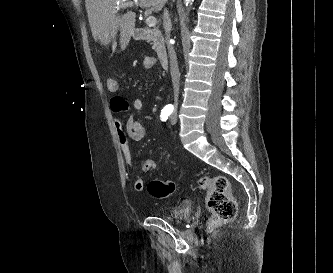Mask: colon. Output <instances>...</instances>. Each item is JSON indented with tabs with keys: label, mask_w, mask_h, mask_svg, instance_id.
<instances>
[{
	"label": "colon",
	"mask_w": 333,
	"mask_h": 273,
	"mask_svg": "<svg viewBox=\"0 0 333 273\" xmlns=\"http://www.w3.org/2000/svg\"><path fill=\"white\" fill-rule=\"evenodd\" d=\"M155 60L151 58V64ZM107 88L111 93L117 94L119 83L115 79H108ZM155 168L153 159H145L142 162V169L150 172ZM200 189L207 195V206L211 213L212 224H220L233 220L237 214V204L230 191L228 179L221 175L206 176L199 180ZM149 193L155 198H168L175 191V184L170 180L154 179L148 184Z\"/></svg>",
	"instance_id": "5ec220e1"
}]
</instances>
